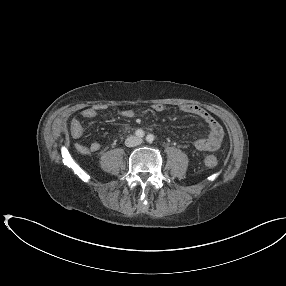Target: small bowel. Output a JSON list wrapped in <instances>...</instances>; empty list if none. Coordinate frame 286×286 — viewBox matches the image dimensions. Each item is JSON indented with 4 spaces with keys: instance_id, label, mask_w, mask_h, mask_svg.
<instances>
[{
    "instance_id": "obj_1",
    "label": "small bowel",
    "mask_w": 286,
    "mask_h": 286,
    "mask_svg": "<svg viewBox=\"0 0 286 286\" xmlns=\"http://www.w3.org/2000/svg\"><path fill=\"white\" fill-rule=\"evenodd\" d=\"M102 107L92 106L87 107L81 111V118L92 119L98 115ZM153 111L156 113H161L164 111L165 107L161 103H156L152 106ZM180 110L187 114H193L202 118L209 126V135L205 138L198 139L195 142V146L201 151H214L218 149L221 145L224 131L220 123L203 107L196 104H182ZM134 111L131 109H124L121 111V115L125 118H132L134 116ZM68 131L72 138L80 139L84 135V127L79 118L72 117L67 123ZM101 144L98 140H94L89 144H75V150L80 155H88L93 152L100 150Z\"/></svg>"
}]
</instances>
